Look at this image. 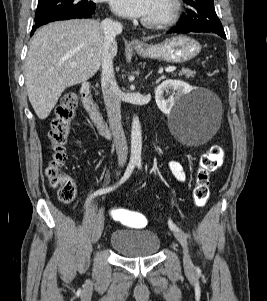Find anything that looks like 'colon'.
Segmentation results:
<instances>
[{
  "mask_svg": "<svg viewBox=\"0 0 267 301\" xmlns=\"http://www.w3.org/2000/svg\"><path fill=\"white\" fill-rule=\"evenodd\" d=\"M77 104L78 96L75 92H68L62 97L56 108L55 118L51 123L48 135L52 156L46 168V175L51 186L57 190L59 199L65 204L71 203L76 196V186L73 180L62 172V167L67 159L66 144ZM224 158V150L219 145L212 146L201 157L193 189V200L197 206L203 207L207 204L210 197V174L224 163ZM108 214L112 220L122 224L132 226L145 224L142 214L123 207L112 205L108 209Z\"/></svg>",
  "mask_w": 267,
  "mask_h": 301,
  "instance_id": "5ec220e1",
  "label": "colon"
}]
</instances>
